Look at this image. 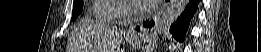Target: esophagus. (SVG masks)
<instances>
[{
  "instance_id": "34e87169",
  "label": "esophagus",
  "mask_w": 261,
  "mask_h": 52,
  "mask_svg": "<svg viewBox=\"0 0 261 52\" xmlns=\"http://www.w3.org/2000/svg\"><path fill=\"white\" fill-rule=\"evenodd\" d=\"M164 5L161 6V8L163 7ZM144 29L141 25L137 24V25H134V26H131L129 29H128V32L127 34L130 35V36H139L143 33Z\"/></svg>"
}]
</instances>
